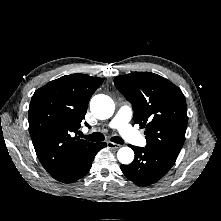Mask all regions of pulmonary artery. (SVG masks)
<instances>
[{
	"label": "pulmonary artery",
	"instance_id": "1",
	"mask_svg": "<svg viewBox=\"0 0 221 221\" xmlns=\"http://www.w3.org/2000/svg\"><path fill=\"white\" fill-rule=\"evenodd\" d=\"M131 118L132 108L129 105H122L109 122L108 127L116 129L128 142L142 146L145 144L146 140L130 125Z\"/></svg>",
	"mask_w": 221,
	"mask_h": 221
}]
</instances>
